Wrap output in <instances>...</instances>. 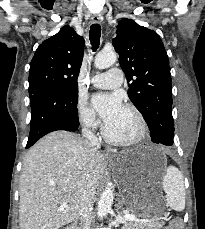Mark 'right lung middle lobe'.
I'll return each mask as SVG.
<instances>
[{"label": "right lung middle lobe", "mask_w": 205, "mask_h": 229, "mask_svg": "<svg viewBox=\"0 0 205 229\" xmlns=\"http://www.w3.org/2000/svg\"><path fill=\"white\" fill-rule=\"evenodd\" d=\"M65 89L69 90L73 95L78 96V86L76 84H68Z\"/></svg>", "instance_id": "right-lung-middle-lobe-1"}]
</instances>
